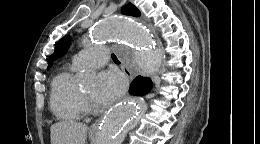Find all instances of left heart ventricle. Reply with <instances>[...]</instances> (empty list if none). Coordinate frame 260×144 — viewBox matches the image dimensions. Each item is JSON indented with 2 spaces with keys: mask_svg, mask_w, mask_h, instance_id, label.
Returning <instances> with one entry per match:
<instances>
[{
  "mask_svg": "<svg viewBox=\"0 0 260 144\" xmlns=\"http://www.w3.org/2000/svg\"><path fill=\"white\" fill-rule=\"evenodd\" d=\"M83 90H84V92H85L88 96L92 95V93H93V87H92V86H91V87H86V88H84Z\"/></svg>",
  "mask_w": 260,
  "mask_h": 144,
  "instance_id": "left-heart-ventricle-1",
  "label": "left heart ventricle"
}]
</instances>
